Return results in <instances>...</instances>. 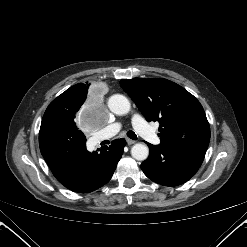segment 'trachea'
<instances>
[{"label":"trachea","instance_id":"1","mask_svg":"<svg viewBox=\"0 0 247 247\" xmlns=\"http://www.w3.org/2000/svg\"><path fill=\"white\" fill-rule=\"evenodd\" d=\"M127 136L133 140H137V135L133 131H128Z\"/></svg>","mask_w":247,"mask_h":247}]
</instances>
